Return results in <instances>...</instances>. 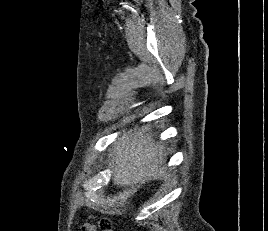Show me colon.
<instances>
[{
  "label": "colon",
  "instance_id": "colon-1",
  "mask_svg": "<svg viewBox=\"0 0 268 231\" xmlns=\"http://www.w3.org/2000/svg\"><path fill=\"white\" fill-rule=\"evenodd\" d=\"M98 230L99 231H113L112 222L107 218L101 219L99 222Z\"/></svg>",
  "mask_w": 268,
  "mask_h": 231
}]
</instances>
